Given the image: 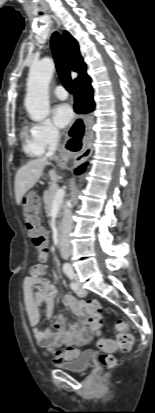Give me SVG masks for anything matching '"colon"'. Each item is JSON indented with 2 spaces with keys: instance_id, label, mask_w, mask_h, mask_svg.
Listing matches in <instances>:
<instances>
[{
  "instance_id": "1",
  "label": "colon",
  "mask_w": 155,
  "mask_h": 413,
  "mask_svg": "<svg viewBox=\"0 0 155 413\" xmlns=\"http://www.w3.org/2000/svg\"><path fill=\"white\" fill-rule=\"evenodd\" d=\"M40 199L41 194L39 192H25L22 198V205L28 234L36 248V255L39 259H44L48 253V235L39 219L37 206L40 205ZM86 309L91 315L101 316V304L96 299L88 300L86 302ZM116 328L118 331L117 347L123 352H129L133 346V336L128 331V324L123 320H119ZM99 346L107 351H111L114 348V345L106 339H102L99 342ZM99 361L108 368H112L116 364V358L107 352L99 355Z\"/></svg>"
}]
</instances>
